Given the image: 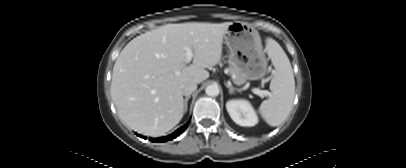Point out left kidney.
Listing matches in <instances>:
<instances>
[{
	"instance_id": "1",
	"label": "left kidney",
	"mask_w": 406,
	"mask_h": 168,
	"mask_svg": "<svg viewBox=\"0 0 406 168\" xmlns=\"http://www.w3.org/2000/svg\"><path fill=\"white\" fill-rule=\"evenodd\" d=\"M226 109L232 120L240 126H255L258 123L255 110L246 100H229Z\"/></svg>"
}]
</instances>
